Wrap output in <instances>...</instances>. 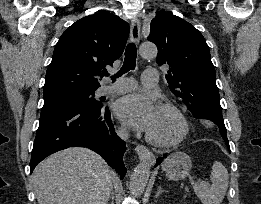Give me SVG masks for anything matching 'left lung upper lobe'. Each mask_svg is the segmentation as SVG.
<instances>
[{
  "label": "left lung upper lobe",
  "instance_id": "1",
  "mask_svg": "<svg viewBox=\"0 0 261 204\" xmlns=\"http://www.w3.org/2000/svg\"><path fill=\"white\" fill-rule=\"evenodd\" d=\"M148 40L158 48L157 63L169 66L166 79L173 94L195 118L207 120L226 135L216 73L202 34L184 19L159 11Z\"/></svg>",
  "mask_w": 261,
  "mask_h": 204
}]
</instances>
